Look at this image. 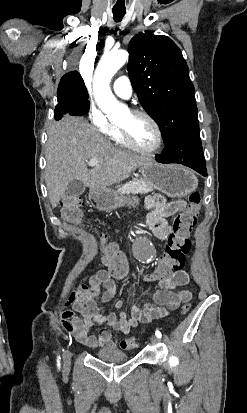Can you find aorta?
I'll return each instance as SVG.
<instances>
[{
    "mask_svg": "<svg viewBox=\"0 0 247 413\" xmlns=\"http://www.w3.org/2000/svg\"><path fill=\"white\" fill-rule=\"evenodd\" d=\"M128 60V52L125 50L105 53L97 68L93 80V93L98 106L107 114L108 118H117L125 110L110 89V81L114 74Z\"/></svg>",
    "mask_w": 247,
    "mask_h": 413,
    "instance_id": "1",
    "label": "aorta"
}]
</instances>
